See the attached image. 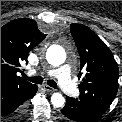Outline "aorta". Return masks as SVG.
Returning <instances> with one entry per match:
<instances>
[{
  "label": "aorta",
  "instance_id": "aorta-1",
  "mask_svg": "<svg viewBox=\"0 0 122 122\" xmlns=\"http://www.w3.org/2000/svg\"><path fill=\"white\" fill-rule=\"evenodd\" d=\"M46 59L53 66H60L66 60V53L61 46H52L46 53ZM51 103L54 107H62L65 103V98L60 93H54L51 96Z\"/></svg>",
  "mask_w": 122,
  "mask_h": 122
}]
</instances>
